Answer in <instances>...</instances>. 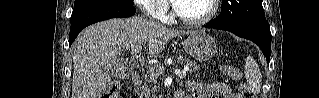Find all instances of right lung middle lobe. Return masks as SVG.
Returning a JSON list of instances; mask_svg holds the SVG:
<instances>
[{
  "label": "right lung middle lobe",
  "mask_w": 319,
  "mask_h": 98,
  "mask_svg": "<svg viewBox=\"0 0 319 98\" xmlns=\"http://www.w3.org/2000/svg\"><path fill=\"white\" fill-rule=\"evenodd\" d=\"M105 3H114L133 7V0H75L74 8L93 5V4H105Z\"/></svg>",
  "instance_id": "1"
}]
</instances>
